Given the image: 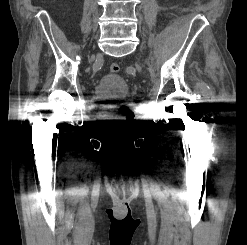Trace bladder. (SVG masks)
I'll list each match as a JSON object with an SVG mask.
<instances>
[{
	"instance_id": "1",
	"label": "bladder",
	"mask_w": 247,
	"mask_h": 245,
	"mask_svg": "<svg viewBox=\"0 0 247 245\" xmlns=\"http://www.w3.org/2000/svg\"><path fill=\"white\" fill-rule=\"evenodd\" d=\"M128 93L129 88L125 79L116 73L103 75L93 90V96L97 101L125 96Z\"/></svg>"
}]
</instances>
